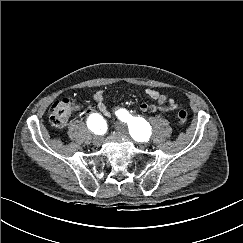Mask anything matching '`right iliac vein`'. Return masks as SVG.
Wrapping results in <instances>:
<instances>
[{
    "mask_svg": "<svg viewBox=\"0 0 243 243\" xmlns=\"http://www.w3.org/2000/svg\"><path fill=\"white\" fill-rule=\"evenodd\" d=\"M102 142V137L99 136V135H95L93 137V144L96 145V146H99Z\"/></svg>",
    "mask_w": 243,
    "mask_h": 243,
    "instance_id": "63e3f726",
    "label": "right iliac vein"
}]
</instances>
